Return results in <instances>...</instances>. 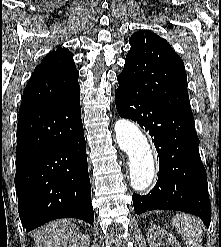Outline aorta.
<instances>
[{
    "mask_svg": "<svg viewBox=\"0 0 221 247\" xmlns=\"http://www.w3.org/2000/svg\"><path fill=\"white\" fill-rule=\"evenodd\" d=\"M116 140L129 157L130 184L135 191L148 188L154 177V159L146 135L132 122L118 120Z\"/></svg>",
    "mask_w": 221,
    "mask_h": 247,
    "instance_id": "obj_1",
    "label": "aorta"
}]
</instances>
